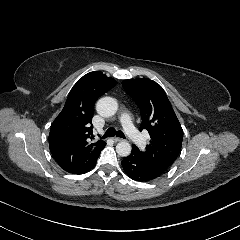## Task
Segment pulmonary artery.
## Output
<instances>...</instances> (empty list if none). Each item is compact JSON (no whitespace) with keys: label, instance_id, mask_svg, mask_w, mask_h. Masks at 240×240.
<instances>
[{"label":"pulmonary artery","instance_id":"1","mask_svg":"<svg viewBox=\"0 0 240 240\" xmlns=\"http://www.w3.org/2000/svg\"><path fill=\"white\" fill-rule=\"evenodd\" d=\"M121 124L124 127V131L136 142L137 146L140 149H143L145 147L144 142L146 141V138L144 136H141L133 127L131 123H128L127 118L121 119Z\"/></svg>","mask_w":240,"mask_h":240}]
</instances>
